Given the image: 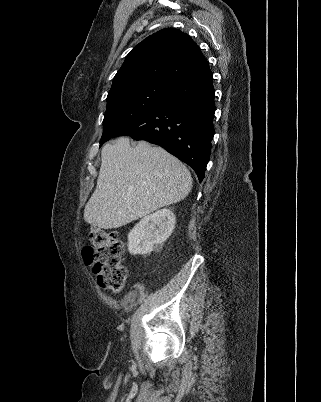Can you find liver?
I'll return each mask as SVG.
<instances>
[{
  "mask_svg": "<svg viewBox=\"0 0 321 402\" xmlns=\"http://www.w3.org/2000/svg\"><path fill=\"white\" fill-rule=\"evenodd\" d=\"M97 186L84 209L93 227L115 229L184 199L192 188L189 170L161 147L128 137L107 143Z\"/></svg>",
  "mask_w": 321,
  "mask_h": 402,
  "instance_id": "1",
  "label": "liver"
}]
</instances>
